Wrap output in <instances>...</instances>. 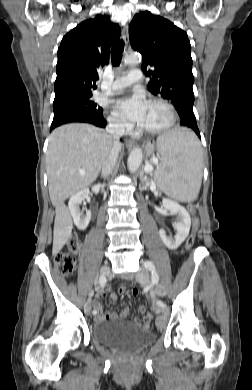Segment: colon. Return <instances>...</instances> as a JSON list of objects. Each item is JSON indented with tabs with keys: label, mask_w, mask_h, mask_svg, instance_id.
Instances as JSON below:
<instances>
[{
	"label": "colon",
	"mask_w": 252,
	"mask_h": 390,
	"mask_svg": "<svg viewBox=\"0 0 252 390\" xmlns=\"http://www.w3.org/2000/svg\"><path fill=\"white\" fill-rule=\"evenodd\" d=\"M188 210L192 215H195L196 213V206L192 203L188 205ZM199 227V220L194 217L193 218V231L188 237L187 240V247L191 248L194 244L195 241V235L196 231ZM66 249L63 252H60L56 255L55 257V267L56 269L64 274L68 275L70 274L76 266V254L80 251L81 247V242L80 239L78 238L77 235H72L68 241L66 242L65 245ZM120 290H124L126 293V288L123 286L120 288ZM132 295L136 296L138 294V289L134 288L131 291ZM152 320V314L151 313H146L144 317V322L145 324H150Z\"/></svg>",
	"instance_id": "1"
}]
</instances>
